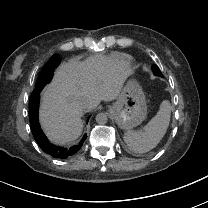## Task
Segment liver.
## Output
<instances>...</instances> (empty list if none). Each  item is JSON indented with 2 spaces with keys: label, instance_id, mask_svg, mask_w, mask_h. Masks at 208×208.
<instances>
[{
  "label": "liver",
  "instance_id": "obj_1",
  "mask_svg": "<svg viewBox=\"0 0 208 208\" xmlns=\"http://www.w3.org/2000/svg\"><path fill=\"white\" fill-rule=\"evenodd\" d=\"M132 74L127 61L104 56L63 64L41 108V121L51 139L59 143L76 139L82 131V110L96 108L101 100L117 99ZM82 102L87 105L82 107Z\"/></svg>",
  "mask_w": 208,
  "mask_h": 208
}]
</instances>
